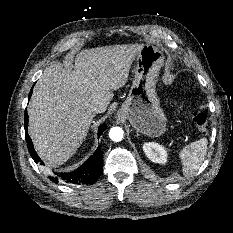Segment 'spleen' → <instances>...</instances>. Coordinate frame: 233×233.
I'll list each match as a JSON object with an SVG mask.
<instances>
[{
	"label": "spleen",
	"instance_id": "3e777b00",
	"mask_svg": "<svg viewBox=\"0 0 233 233\" xmlns=\"http://www.w3.org/2000/svg\"><path fill=\"white\" fill-rule=\"evenodd\" d=\"M207 154V139L200 138L184 146L179 152L183 175L188 177L198 171Z\"/></svg>",
	"mask_w": 233,
	"mask_h": 233
}]
</instances>
